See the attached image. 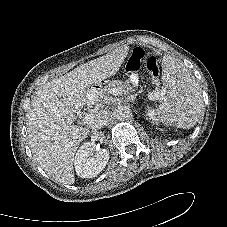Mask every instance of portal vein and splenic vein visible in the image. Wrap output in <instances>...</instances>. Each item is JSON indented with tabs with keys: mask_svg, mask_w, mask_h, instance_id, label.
I'll return each mask as SVG.
<instances>
[{
	"mask_svg": "<svg viewBox=\"0 0 227 227\" xmlns=\"http://www.w3.org/2000/svg\"><path fill=\"white\" fill-rule=\"evenodd\" d=\"M111 94L114 96H117L118 95L117 89H113ZM158 98H159V92H156V93L152 92L149 94V99H151V100H155ZM87 99L91 104H94L97 101V96L95 94L89 92V93H87ZM92 117H93V114H86L85 115L86 122H89Z\"/></svg>",
	"mask_w": 227,
	"mask_h": 227,
	"instance_id": "portal-vein-and-splenic-vein-1",
	"label": "portal vein and splenic vein"
}]
</instances>
